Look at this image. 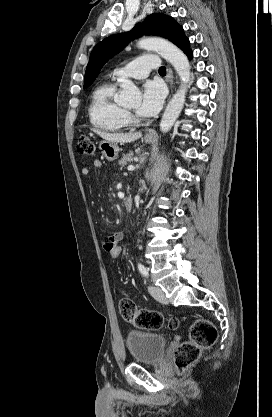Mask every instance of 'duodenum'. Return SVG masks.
Here are the masks:
<instances>
[{
    "label": "duodenum",
    "instance_id": "duodenum-1",
    "mask_svg": "<svg viewBox=\"0 0 272 417\" xmlns=\"http://www.w3.org/2000/svg\"><path fill=\"white\" fill-rule=\"evenodd\" d=\"M132 207H133V198L131 196H128L124 200V208L127 211H130L132 209Z\"/></svg>",
    "mask_w": 272,
    "mask_h": 417
}]
</instances>
